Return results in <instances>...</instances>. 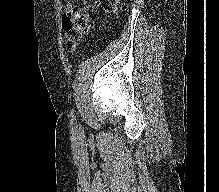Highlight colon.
Instances as JSON below:
<instances>
[{"label":"colon","instance_id":"1","mask_svg":"<svg viewBox=\"0 0 219 192\" xmlns=\"http://www.w3.org/2000/svg\"><path fill=\"white\" fill-rule=\"evenodd\" d=\"M126 0H111L104 6L106 16L116 15L124 6ZM94 6H84L74 3L62 16V29L69 50H73L77 41L90 29V15Z\"/></svg>","mask_w":219,"mask_h":192}]
</instances>
